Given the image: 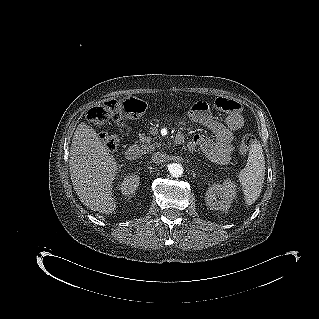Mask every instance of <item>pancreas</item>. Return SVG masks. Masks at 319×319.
I'll use <instances>...</instances> for the list:
<instances>
[{
	"label": "pancreas",
	"instance_id": "cf45deb5",
	"mask_svg": "<svg viewBox=\"0 0 319 319\" xmlns=\"http://www.w3.org/2000/svg\"><path fill=\"white\" fill-rule=\"evenodd\" d=\"M152 138L150 136H146L144 134L140 135L139 142L141 143V148L144 152H151L157 146L156 143H151Z\"/></svg>",
	"mask_w": 319,
	"mask_h": 319
}]
</instances>
